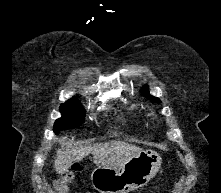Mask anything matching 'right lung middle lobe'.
Here are the masks:
<instances>
[{
  "mask_svg": "<svg viewBox=\"0 0 221 193\" xmlns=\"http://www.w3.org/2000/svg\"><path fill=\"white\" fill-rule=\"evenodd\" d=\"M62 117L54 124V132L57 134L64 129H72L84 123L85 111L75 98L62 104L60 107Z\"/></svg>",
  "mask_w": 221,
  "mask_h": 193,
  "instance_id": "obj_1",
  "label": "right lung middle lobe"
}]
</instances>
